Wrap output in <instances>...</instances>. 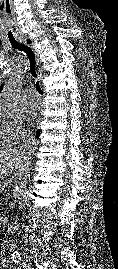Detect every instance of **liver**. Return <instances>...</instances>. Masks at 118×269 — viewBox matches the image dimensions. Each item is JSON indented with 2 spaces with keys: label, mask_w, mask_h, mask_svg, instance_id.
I'll use <instances>...</instances> for the list:
<instances>
[{
  "label": "liver",
  "mask_w": 118,
  "mask_h": 269,
  "mask_svg": "<svg viewBox=\"0 0 118 269\" xmlns=\"http://www.w3.org/2000/svg\"><path fill=\"white\" fill-rule=\"evenodd\" d=\"M26 167V152L19 148H9L0 150V179L9 171L16 170L18 173L24 171Z\"/></svg>",
  "instance_id": "liver-1"
}]
</instances>
